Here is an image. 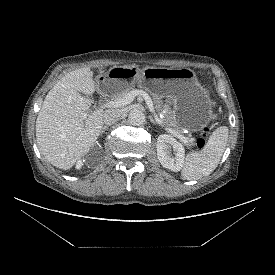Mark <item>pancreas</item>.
Returning a JSON list of instances; mask_svg holds the SVG:
<instances>
[{
  "mask_svg": "<svg viewBox=\"0 0 275 275\" xmlns=\"http://www.w3.org/2000/svg\"><path fill=\"white\" fill-rule=\"evenodd\" d=\"M131 89L133 88H128V89H124L122 91L117 92L116 94L113 95V99L117 100L120 98H123L127 93H129L131 91ZM156 107L158 110H161V108L163 110H165V112L163 113V118H162V123L165 127L167 128H171L173 130H175L176 132L180 133L182 131V128L179 127L176 123V121L174 120L172 113L169 111V107L166 104H163L159 101H156ZM193 143L190 142L187 144V146H191Z\"/></svg>",
  "mask_w": 275,
  "mask_h": 275,
  "instance_id": "1",
  "label": "pancreas"
}]
</instances>
